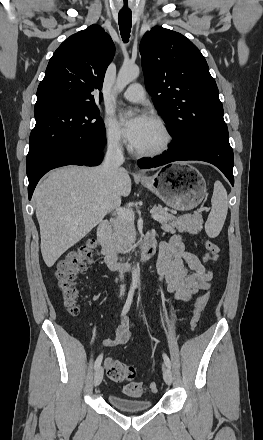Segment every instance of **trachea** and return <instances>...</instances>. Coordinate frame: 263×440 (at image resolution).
Segmentation results:
<instances>
[{
	"label": "trachea",
	"mask_w": 263,
	"mask_h": 440,
	"mask_svg": "<svg viewBox=\"0 0 263 440\" xmlns=\"http://www.w3.org/2000/svg\"><path fill=\"white\" fill-rule=\"evenodd\" d=\"M118 22L121 37L127 43L131 32L132 13L130 11H121L118 15Z\"/></svg>",
	"instance_id": "3493384b"
}]
</instances>
